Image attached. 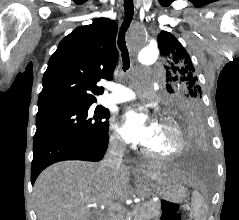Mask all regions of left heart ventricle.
Masks as SVG:
<instances>
[{"instance_id":"obj_1","label":"left heart ventricle","mask_w":239,"mask_h":220,"mask_svg":"<svg viewBox=\"0 0 239 220\" xmlns=\"http://www.w3.org/2000/svg\"><path fill=\"white\" fill-rule=\"evenodd\" d=\"M176 144L177 139L173 130L161 122H155L152 134L144 146L155 152L171 153L175 150Z\"/></svg>"}]
</instances>
